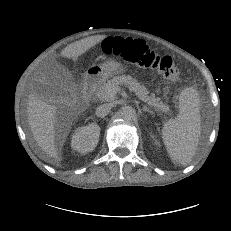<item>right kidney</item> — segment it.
I'll use <instances>...</instances> for the list:
<instances>
[{"label": "right kidney", "instance_id": "ca27d5eb", "mask_svg": "<svg viewBox=\"0 0 231 231\" xmlns=\"http://www.w3.org/2000/svg\"><path fill=\"white\" fill-rule=\"evenodd\" d=\"M100 127L96 123L79 127L72 135L71 147L79 153L93 151L99 141Z\"/></svg>", "mask_w": 231, "mask_h": 231}]
</instances>
